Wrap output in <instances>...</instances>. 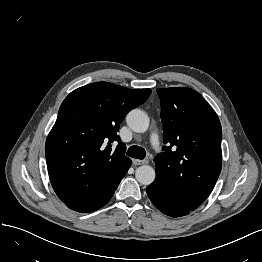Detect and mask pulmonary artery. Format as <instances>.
Segmentation results:
<instances>
[{
	"mask_svg": "<svg viewBox=\"0 0 262 262\" xmlns=\"http://www.w3.org/2000/svg\"><path fill=\"white\" fill-rule=\"evenodd\" d=\"M150 143L152 145L153 148L157 149L160 147V143H159V137L157 134H152L150 137Z\"/></svg>",
	"mask_w": 262,
	"mask_h": 262,
	"instance_id": "pulmonary-artery-1",
	"label": "pulmonary artery"
}]
</instances>
